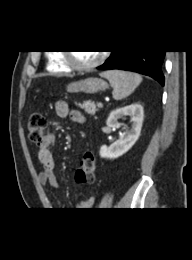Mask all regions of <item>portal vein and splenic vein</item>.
<instances>
[{
    "label": "portal vein and splenic vein",
    "instance_id": "portal-vein-and-splenic-vein-1",
    "mask_svg": "<svg viewBox=\"0 0 192 260\" xmlns=\"http://www.w3.org/2000/svg\"><path fill=\"white\" fill-rule=\"evenodd\" d=\"M97 105H98V107H101V108L103 107V103L102 102H99Z\"/></svg>",
    "mask_w": 192,
    "mask_h": 260
}]
</instances>
